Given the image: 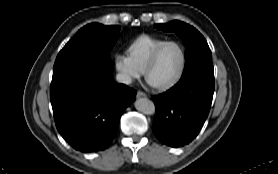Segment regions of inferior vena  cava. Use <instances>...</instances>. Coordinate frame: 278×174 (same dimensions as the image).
Masks as SVG:
<instances>
[{"mask_svg": "<svg viewBox=\"0 0 278 174\" xmlns=\"http://www.w3.org/2000/svg\"><path fill=\"white\" fill-rule=\"evenodd\" d=\"M116 80L119 83H128V82H130V77L123 75V74H118L116 76Z\"/></svg>", "mask_w": 278, "mask_h": 174, "instance_id": "obj_1", "label": "inferior vena cava"}]
</instances>
